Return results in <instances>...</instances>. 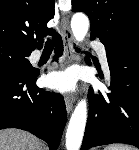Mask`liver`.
I'll list each match as a JSON object with an SVG mask.
<instances>
[{"instance_id": "liver-1", "label": "liver", "mask_w": 139, "mask_h": 150, "mask_svg": "<svg viewBox=\"0 0 139 150\" xmlns=\"http://www.w3.org/2000/svg\"><path fill=\"white\" fill-rule=\"evenodd\" d=\"M0 150H42V145L26 131L6 129L0 130Z\"/></svg>"}]
</instances>
